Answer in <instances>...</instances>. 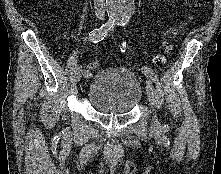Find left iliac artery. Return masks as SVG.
I'll return each instance as SVG.
<instances>
[{
  "label": "left iliac artery",
  "mask_w": 221,
  "mask_h": 174,
  "mask_svg": "<svg viewBox=\"0 0 221 174\" xmlns=\"http://www.w3.org/2000/svg\"><path fill=\"white\" fill-rule=\"evenodd\" d=\"M120 24L124 25V22H118V23H117V25H120ZM125 50H126V42H123V43H122L121 51H122V52H125ZM142 72H143L146 76L150 77L153 81H156L157 78H156V76H155V74H154V72H153V70H152L151 68H149V67H143V68H142Z\"/></svg>",
  "instance_id": "obj_1"
}]
</instances>
